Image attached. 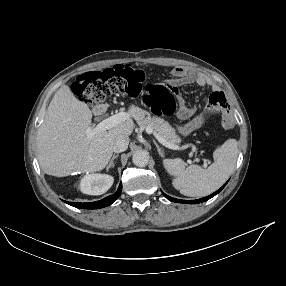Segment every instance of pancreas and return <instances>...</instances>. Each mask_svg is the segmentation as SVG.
I'll return each mask as SVG.
<instances>
[{"instance_id": "pancreas-1", "label": "pancreas", "mask_w": 286, "mask_h": 286, "mask_svg": "<svg viewBox=\"0 0 286 286\" xmlns=\"http://www.w3.org/2000/svg\"><path fill=\"white\" fill-rule=\"evenodd\" d=\"M128 113L136 120L140 127L152 128L172 144H179L181 142V139L175 133V129L172 128L171 125L164 119L159 117H151L149 112L135 106L130 107Z\"/></svg>"}]
</instances>
